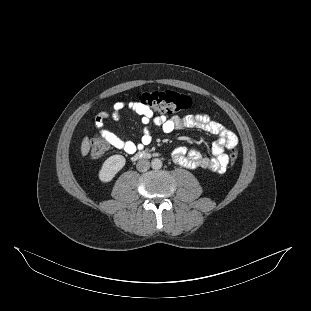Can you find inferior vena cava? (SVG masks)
Wrapping results in <instances>:
<instances>
[{
  "label": "inferior vena cava",
  "instance_id": "obj_1",
  "mask_svg": "<svg viewBox=\"0 0 311 311\" xmlns=\"http://www.w3.org/2000/svg\"><path fill=\"white\" fill-rule=\"evenodd\" d=\"M151 164L149 162V160L147 159H140L138 162H137V170L139 172H146L149 168H150Z\"/></svg>",
  "mask_w": 311,
  "mask_h": 311
}]
</instances>
